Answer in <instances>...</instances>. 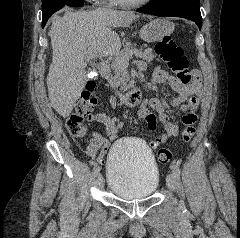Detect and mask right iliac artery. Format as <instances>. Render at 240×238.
Masks as SVG:
<instances>
[{
  "mask_svg": "<svg viewBox=\"0 0 240 238\" xmlns=\"http://www.w3.org/2000/svg\"><path fill=\"white\" fill-rule=\"evenodd\" d=\"M99 171H100V167L98 165L94 166V168H93V175L94 176H98Z\"/></svg>",
  "mask_w": 240,
  "mask_h": 238,
  "instance_id": "1",
  "label": "right iliac artery"
}]
</instances>
